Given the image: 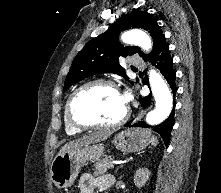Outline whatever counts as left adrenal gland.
I'll return each mask as SVG.
<instances>
[{"label":"left adrenal gland","mask_w":221,"mask_h":193,"mask_svg":"<svg viewBox=\"0 0 221 193\" xmlns=\"http://www.w3.org/2000/svg\"><path fill=\"white\" fill-rule=\"evenodd\" d=\"M121 167H122V166H121ZM118 169H119V168L116 169L115 174L117 173Z\"/></svg>","instance_id":"1"}]
</instances>
